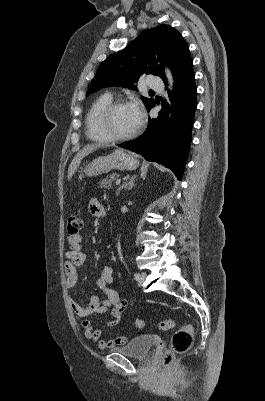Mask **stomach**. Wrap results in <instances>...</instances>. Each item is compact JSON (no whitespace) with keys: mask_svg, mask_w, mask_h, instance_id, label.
Returning a JSON list of instances; mask_svg holds the SVG:
<instances>
[{"mask_svg":"<svg viewBox=\"0 0 265 401\" xmlns=\"http://www.w3.org/2000/svg\"><path fill=\"white\" fill-rule=\"evenodd\" d=\"M139 162L134 154H127L122 148H116L111 154L106 156H97L91 162L86 164L83 172L85 176H97L103 172H109L113 168L117 170H135Z\"/></svg>","mask_w":265,"mask_h":401,"instance_id":"obj_1","label":"stomach"}]
</instances>
